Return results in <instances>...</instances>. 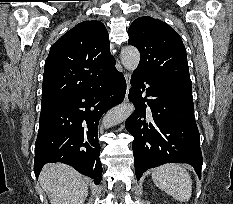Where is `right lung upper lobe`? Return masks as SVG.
I'll return each instance as SVG.
<instances>
[{"label": "right lung upper lobe", "instance_id": "obj_1", "mask_svg": "<svg viewBox=\"0 0 233 204\" xmlns=\"http://www.w3.org/2000/svg\"><path fill=\"white\" fill-rule=\"evenodd\" d=\"M108 32L100 21H84L55 42L45 62L41 104L59 103L100 82L115 67Z\"/></svg>", "mask_w": 233, "mask_h": 204}]
</instances>
